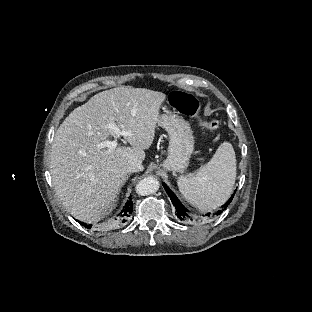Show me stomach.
Listing matches in <instances>:
<instances>
[{"instance_id": "0dacf381", "label": "stomach", "mask_w": 312, "mask_h": 312, "mask_svg": "<svg viewBox=\"0 0 312 312\" xmlns=\"http://www.w3.org/2000/svg\"><path fill=\"white\" fill-rule=\"evenodd\" d=\"M159 126L167 131L170 139L163 167L168 171L182 173L188 167L194 151L195 141L190 124L182 116L169 112L160 116Z\"/></svg>"}]
</instances>
